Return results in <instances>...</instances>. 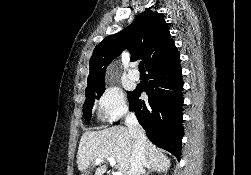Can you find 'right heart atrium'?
<instances>
[{"label": "right heart atrium", "instance_id": "right-heart-atrium-1", "mask_svg": "<svg viewBox=\"0 0 251 175\" xmlns=\"http://www.w3.org/2000/svg\"><path fill=\"white\" fill-rule=\"evenodd\" d=\"M95 108L102 122L115 121L127 111L125 94L110 75L106 77L105 86L95 100Z\"/></svg>", "mask_w": 251, "mask_h": 175}]
</instances>
